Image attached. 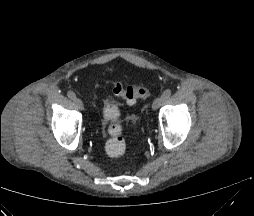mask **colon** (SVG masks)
<instances>
[{"label": "colon", "mask_w": 254, "mask_h": 216, "mask_svg": "<svg viewBox=\"0 0 254 216\" xmlns=\"http://www.w3.org/2000/svg\"><path fill=\"white\" fill-rule=\"evenodd\" d=\"M115 96L124 100L127 104L133 105L147 95V90L141 86H125L121 83L113 84ZM104 117L107 121L106 133L109 139L105 145L106 153L111 157H120L126 151V142L123 137V128L119 122V110L112 102L105 103Z\"/></svg>", "instance_id": "colon-1"}]
</instances>
